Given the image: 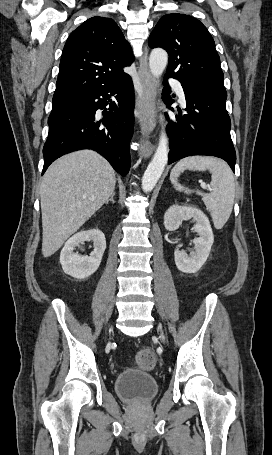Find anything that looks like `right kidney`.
Instances as JSON below:
<instances>
[{
  "label": "right kidney",
  "instance_id": "obj_1",
  "mask_svg": "<svg viewBox=\"0 0 272 455\" xmlns=\"http://www.w3.org/2000/svg\"><path fill=\"white\" fill-rule=\"evenodd\" d=\"M84 241H93L94 250L89 256H81L73 252L75 247ZM105 249V236L99 229L78 232L65 243L61 250L62 269L66 274L77 279L89 277L99 268Z\"/></svg>",
  "mask_w": 272,
  "mask_h": 455
}]
</instances>
